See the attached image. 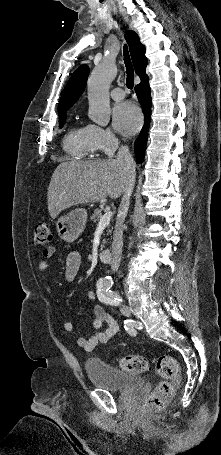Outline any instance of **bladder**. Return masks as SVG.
I'll return each instance as SVG.
<instances>
[{
    "label": "bladder",
    "mask_w": 221,
    "mask_h": 455,
    "mask_svg": "<svg viewBox=\"0 0 221 455\" xmlns=\"http://www.w3.org/2000/svg\"><path fill=\"white\" fill-rule=\"evenodd\" d=\"M85 369L90 381L98 386L113 392H129L143 387L144 379L120 369L94 360H87Z\"/></svg>",
    "instance_id": "31cf9c89"
}]
</instances>
